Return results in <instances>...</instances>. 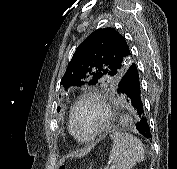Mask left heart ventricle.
<instances>
[{
  "instance_id": "left-heart-ventricle-1",
  "label": "left heart ventricle",
  "mask_w": 177,
  "mask_h": 169,
  "mask_svg": "<svg viewBox=\"0 0 177 169\" xmlns=\"http://www.w3.org/2000/svg\"><path fill=\"white\" fill-rule=\"evenodd\" d=\"M102 121V112L93 101L84 102L77 110L75 123L80 135H90L98 129Z\"/></svg>"
}]
</instances>
